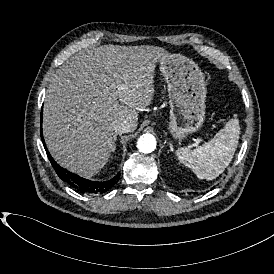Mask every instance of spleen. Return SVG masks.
<instances>
[{"instance_id": "spleen-1", "label": "spleen", "mask_w": 274, "mask_h": 274, "mask_svg": "<svg viewBox=\"0 0 274 274\" xmlns=\"http://www.w3.org/2000/svg\"><path fill=\"white\" fill-rule=\"evenodd\" d=\"M240 135L239 120L230 119L213 139L194 150L180 148L176 155L193 169L199 179L213 180L224 172L236 151Z\"/></svg>"}]
</instances>
